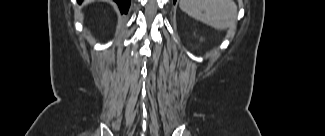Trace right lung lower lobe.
I'll return each instance as SVG.
<instances>
[{"label": "right lung lower lobe", "instance_id": "98d812e1", "mask_svg": "<svg viewBox=\"0 0 325 136\" xmlns=\"http://www.w3.org/2000/svg\"><path fill=\"white\" fill-rule=\"evenodd\" d=\"M79 2H81L82 0H78ZM118 6H119V9L121 11V13H127L128 12V9H129V6H130V0H114Z\"/></svg>", "mask_w": 325, "mask_h": 136}]
</instances>
